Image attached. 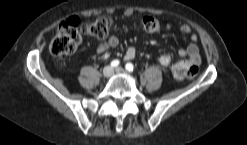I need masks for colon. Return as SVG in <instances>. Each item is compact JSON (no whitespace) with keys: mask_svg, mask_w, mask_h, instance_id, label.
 <instances>
[{"mask_svg":"<svg viewBox=\"0 0 247 145\" xmlns=\"http://www.w3.org/2000/svg\"><path fill=\"white\" fill-rule=\"evenodd\" d=\"M143 29L150 33H159L169 29L168 23H162L153 16H144L142 19ZM114 30V20L111 17L101 16L95 18L93 21L82 26L76 18L69 19L63 22L57 29L54 38L50 43V53L54 56H68L72 55L81 42L82 34L103 39L107 37ZM162 62L170 65L168 58H163ZM198 73L197 68H190L187 71H182L179 68L174 70V75L177 78L196 77Z\"/></svg>","mask_w":247,"mask_h":145,"instance_id":"5ec220e1","label":"colon"}]
</instances>
